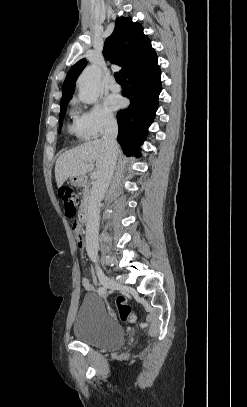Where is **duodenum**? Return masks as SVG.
I'll use <instances>...</instances> for the list:
<instances>
[{
    "mask_svg": "<svg viewBox=\"0 0 247 407\" xmlns=\"http://www.w3.org/2000/svg\"><path fill=\"white\" fill-rule=\"evenodd\" d=\"M79 222H83L84 225L87 224L88 220H89V208L87 206H83L80 211H79Z\"/></svg>",
    "mask_w": 247,
    "mask_h": 407,
    "instance_id": "1",
    "label": "duodenum"
}]
</instances>
